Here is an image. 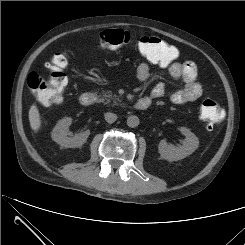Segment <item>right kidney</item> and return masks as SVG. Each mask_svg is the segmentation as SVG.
I'll return each instance as SVG.
<instances>
[{
  "label": "right kidney",
  "mask_w": 245,
  "mask_h": 245,
  "mask_svg": "<svg viewBox=\"0 0 245 245\" xmlns=\"http://www.w3.org/2000/svg\"><path fill=\"white\" fill-rule=\"evenodd\" d=\"M72 124V118L65 117L61 119L52 131V139L62 147L76 148L81 147L90 135V130L72 135L69 133V127Z\"/></svg>",
  "instance_id": "1"
}]
</instances>
